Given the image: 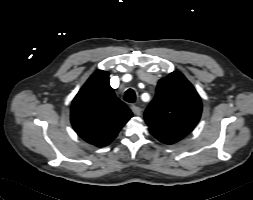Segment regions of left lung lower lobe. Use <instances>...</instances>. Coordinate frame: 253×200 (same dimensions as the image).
Here are the masks:
<instances>
[{
  "label": "left lung lower lobe",
  "mask_w": 253,
  "mask_h": 200,
  "mask_svg": "<svg viewBox=\"0 0 253 200\" xmlns=\"http://www.w3.org/2000/svg\"><path fill=\"white\" fill-rule=\"evenodd\" d=\"M151 133L161 142L165 144H173L179 140H181L183 137L177 136L174 134H166V133H161L157 131H151Z\"/></svg>",
  "instance_id": "1"
}]
</instances>
